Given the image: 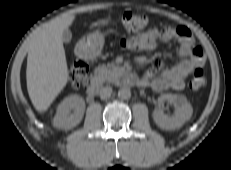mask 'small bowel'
<instances>
[{"instance_id": "1", "label": "small bowel", "mask_w": 231, "mask_h": 170, "mask_svg": "<svg viewBox=\"0 0 231 170\" xmlns=\"http://www.w3.org/2000/svg\"><path fill=\"white\" fill-rule=\"evenodd\" d=\"M172 40L178 42L180 61L172 67L161 69L159 73H156L158 68L147 71L139 80L141 85L150 86L156 91L182 90L185 87V78L204 64V51L194 44L190 30L183 25L167 26L163 29L152 27L136 36L119 39L122 47L133 51H151L159 43Z\"/></svg>"}]
</instances>
